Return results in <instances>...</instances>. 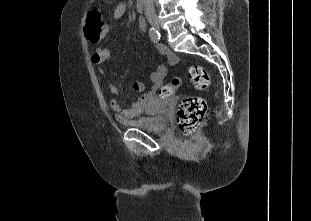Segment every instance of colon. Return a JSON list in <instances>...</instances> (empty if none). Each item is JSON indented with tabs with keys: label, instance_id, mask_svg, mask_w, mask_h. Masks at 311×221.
Wrapping results in <instances>:
<instances>
[{
	"label": "colon",
	"instance_id": "colon-1",
	"mask_svg": "<svg viewBox=\"0 0 311 221\" xmlns=\"http://www.w3.org/2000/svg\"><path fill=\"white\" fill-rule=\"evenodd\" d=\"M102 15L103 12L99 7H93L88 11L87 18L92 22L86 25V32H88L87 36L91 43L99 42L103 36L105 25L100 23ZM189 79L196 89L207 88L210 84L209 73L202 67H190ZM177 85L173 83L166 85V88H157V98L169 99ZM207 112L208 107L204 99L192 96L182 98L178 104L176 125L184 135L193 133L204 123Z\"/></svg>",
	"mask_w": 311,
	"mask_h": 221
}]
</instances>
